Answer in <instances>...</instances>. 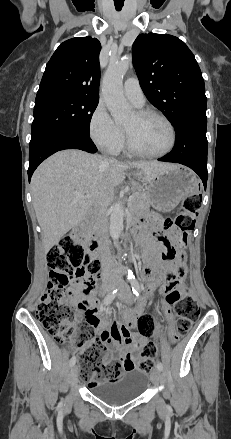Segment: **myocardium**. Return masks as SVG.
I'll return each mask as SVG.
<instances>
[{
  "label": "myocardium",
  "instance_id": "f54148a6",
  "mask_svg": "<svg viewBox=\"0 0 231 439\" xmlns=\"http://www.w3.org/2000/svg\"><path fill=\"white\" fill-rule=\"evenodd\" d=\"M136 114L139 117L155 116V117H158L159 119H161L169 128L170 143H169L168 147L161 152L145 153V152L140 151L139 149H137L134 146L128 131L124 128L125 144H126V148L128 149V151L137 157L146 158V159L161 158V157L169 154L174 149V147L176 145V141H177V133H176V129H175L172 121L165 114H163L157 110H154V109H141V110H138L136 112Z\"/></svg>",
  "mask_w": 231,
  "mask_h": 439
}]
</instances>
